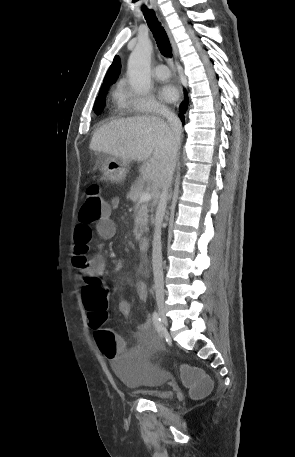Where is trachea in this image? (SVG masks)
<instances>
[{
  "mask_svg": "<svg viewBox=\"0 0 295 457\" xmlns=\"http://www.w3.org/2000/svg\"><path fill=\"white\" fill-rule=\"evenodd\" d=\"M143 12L161 54L168 59L172 58V47L169 38L161 23L158 21L155 12L146 7H143Z\"/></svg>",
  "mask_w": 295,
  "mask_h": 457,
  "instance_id": "trachea-1",
  "label": "trachea"
}]
</instances>
